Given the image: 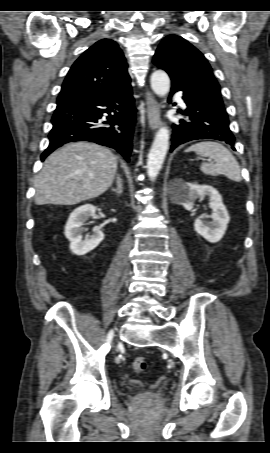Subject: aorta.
Segmentation results:
<instances>
[{"mask_svg":"<svg viewBox=\"0 0 270 453\" xmlns=\"http://www.w3.org/2000/svg\"><path fill=\"white\" fill-rule=\"evenodd\" d=\"M151 88L156 95L164 97L170 90V79L163 70H156L151 75ZM169 148V130L161 127L156 133L147 160L149 178L154 181L158 176Z\"/></svg>","mask_w":270,"mask_h":453,"instance_id":"obj_1","label":"aorta"}]
</instances>
